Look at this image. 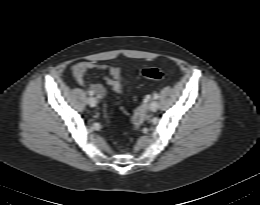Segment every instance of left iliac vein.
I'll return each mask as SVG.
<instances>
[{"label":"left iliac vein","instance_id":"4c4485c4","mask_svg":"<svg viewBox=\"0 0 260 205\" xmlns=\"http://www.w3.org/2000/svg\"><path fill=\"white\" fill-rule=\"evenodd\" d=\"M158 107H159V104H158V102L156 100L151 101V103L149 104V109L152 112L157 111Z\"/></svg>","mask_w":260,"mask_h":205}]
</instances>
